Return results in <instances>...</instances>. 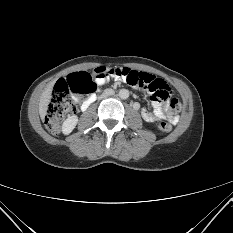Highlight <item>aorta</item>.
I'll list each match as a JSON object with an SVG mask.
<instances>
[{"mask_svg":"<svg viewBox=\"0 0 233 233\" xmlns=\"http://www.w3.org/2000/svg\"><path fill=\"white\" fill-rule=\"evenodd\" d=\"M119 97L121 99H127L129 97V91L127 89H121L119 91Z\"/></svg>","mask_w":233,"mask_h":233,"instance_id":"aorta-1","label":"aorta"}]
</instances>
